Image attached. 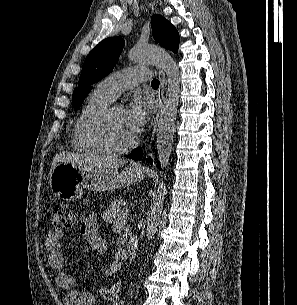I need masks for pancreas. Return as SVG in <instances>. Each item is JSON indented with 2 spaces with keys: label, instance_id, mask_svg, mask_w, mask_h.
Segmentation results:
<instances>
[{
  "label": "pancreas",
  "instance_id": "cf45deb5",
  "mask_svg": "<svg viewBox=\"0 0 297 305\" xmlns=\"http://www.w3.org/2000/svg\"><path fill=\"white\" fill-rule=\"evenodd\" d=\"M125 210L122 208V201L118 199L112 200L109 207L105 210L103 218L108 223L122 220Z\"/></svg>",
  "mask_w": 297,
  "mask_h": 305
}]
</instances>
